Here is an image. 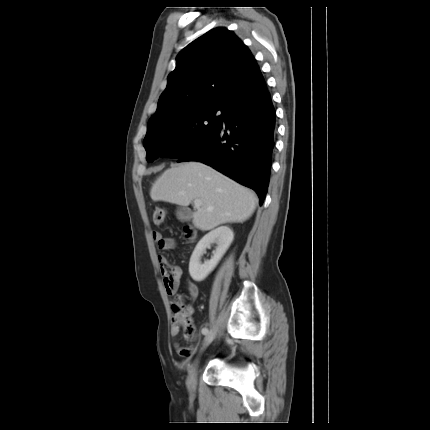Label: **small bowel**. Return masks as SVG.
<instances>
[{
	"label": "small bowel",
	"instance_id": "obj_1",
	"mask_svg": "<svg viewBox=\"0 0 430 430\" xmlns=\"http://www.w3.org/2000/svg\"><path fill=\"white\" fill-rule=\"evenodd\" d=\"M153 239L158 244V247L162 250H171L175 247V242L173 239L164 238L160 233H154ZM159 268L162 273V283L165 286L164 292L165 294L171 295L175 294L178 290L181 282V278L183 275V271L179 266H170V274L166 273V266L168 265L167 260L163 256H159L158 258ZM189 296L191 299H195L198 295V287L189 282L187 286ZM208 329L206 326L201 328V333L204 335V331ZM179 325L175 320H173V325L170 330V335L172 338V347L176 351L178 355L184 358H191L196 351V345L189 347H182L178 342L179 335Z\"/></svg>",
	"mask_w": 430,
	"mask_h": 430
}]
</instances>
